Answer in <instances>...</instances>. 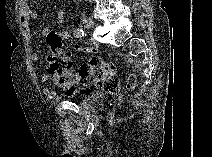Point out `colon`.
<instances>
[{"instance_id": "obj_1", "label": "colon", "mask_w": 212, "mask_h": 157, "mask_svg": "<svg viewBox=\"0 0 212 157\" xmlns=\"http://www.w3.org/2000/svg\"><path fill=\"white\" fill-rule=\"evenodd\" d=\"M47 41L51 45V55L48 58L47 71L53 77L54 83L66 93H87L95 88L114 94L120 89V82L114 64L99 60L96 63L74 72L66 49L71 44L68 33H49ZM135 85L134 77L130 78L129 87Z\"/></svg>"}]
</instances>
